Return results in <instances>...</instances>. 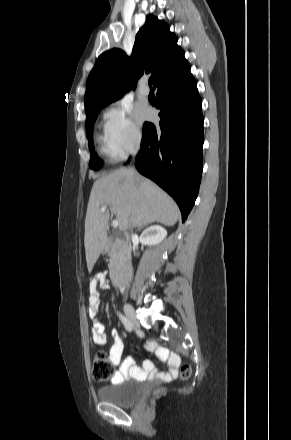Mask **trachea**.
I'll return each mask as SVG.
<instances>
[{
    "instance_id": "3493384b",
    "label": "trachea",
    "mask_w": 291,
    "mask_h": 440,
    "mask_svg": "<svg viewBox=\"0 0 291 440\" xmlns=\"http://www.w3.org/2000/svg\"><path fill=\"white\" fill-rule=\"evenodd\" d=\"M148 84H149L150 87L152 86V80L151 79H149Z\"/></svg>"
}]
</instances>
